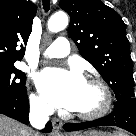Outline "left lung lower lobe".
<instances>
[{"mask_svg":"<svg viewBox=\"0 0 136 136\" xmlns=\"http://www.w3.org/2000/svg\"><path fill=\"white\" fill-rule=\"evenodd\" d=\"M96 126H117L136 135V98L117 100L113 112L106 117L83 123H68L63 128L76 131Z\"/></svg>","mask_w":136,"mask_h":136,"instance_id":"left-lung-lower-lobe-1","label":"left lung lower lobe"}]
</instances>
